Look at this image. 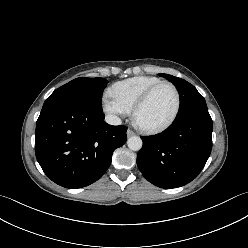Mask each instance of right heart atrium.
Here are the masks:
<instances>
[{
  "label": "right heart atrium",
  "instance_id": "d8ad5b80",
  "mask_svg": "<svg viewBox=\"0 0 248 248\" xmlns=\"http://www.w3.org/2000/svg\"><path fill=\"white\" fill-rule=\"evenodd\" d=\"M104 111L112 117L125 116L129 110L110 94H105L102 99Z\"/></svg>",
  "mask_w": 248,
  "mask_h": 248
}]
</instances>
